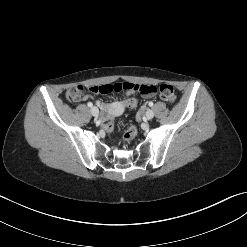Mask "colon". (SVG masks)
Listing matches in <instances>:
<instances>
[{"label":"colon","instance_id":"1","mask_svg":"<svg viewBox=\"0 0 247 247\" xmlns=\"http://www.w3.org/2000/svg\"><path fill=\"white\" fill-rule=\"evenodd\" d=\"M132 89L135 93L141 95L143 98H156L160 96V98L168 103H174L177 99L175 90L172 85L169 84H161L158 88L155 85L149 84H137V83H127V82H118L114 84H104V85H96L89 87V91L95 94H110L112 92H121ZM84 93V88L82 85L75 86L72 88L67 96L69 99L73 100L76 97L82 96ZM136 108V101L131 98L125 101V105H121V110L119 113H122L124 109ZM103 128L107 132H111L114 129V122L112 120H107L103 124ZM137 135V129L135 126L129 127L124 134V140L129 143L131 142L135 136Z\"/></svg>","mask_w":247,"mask_h":247}]
</instances>
